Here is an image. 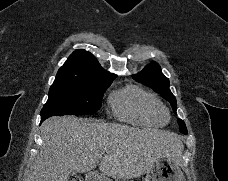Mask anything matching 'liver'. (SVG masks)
<instances>
[{"label":"liver","instance_id":"liver-1","mask_svg":"<svg viewBox=\"0 0 228 181\" xmlns=\"http://www.w3.org/2000/svg\"><path fill=\"white\" fill-rule=\"evenodd\" d=\"M42 147L29 181H69L71 171L135 179L149 173L160 155L181 161L182 137L159 129H134L96 119L51 117L41 127ZM100 151H105L101 157Z\"/></svg>","mask_w":228,"mask_h":181}]
</instances>
